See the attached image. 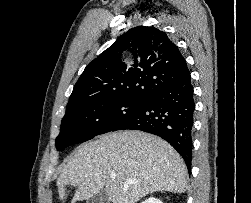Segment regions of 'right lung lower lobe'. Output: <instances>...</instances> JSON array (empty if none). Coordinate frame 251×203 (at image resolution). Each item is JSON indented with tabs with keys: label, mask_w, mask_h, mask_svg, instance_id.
<instances>
[{
	"label": "right lung lower lobe",
	"mask_w": 251,
	"mask_h": 203,
	"mask_svg": "<svg viewBox=\"0 0 251 203\" xmlns=\"http://www.w3.org/2000/svg\"><path fill=\"white\" fill-rule=\"evenodd\" d=\"M194 112L193 87L188 71L176 82L152 93L139 110L111 131L141 130L160 136L177 150L190 172Z\"/></svg>",
	"instance_id": "1"
}]
</instances>
